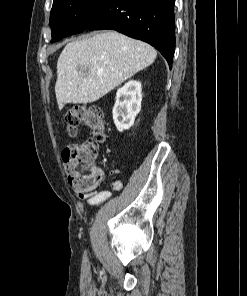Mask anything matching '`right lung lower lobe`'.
<instances>
[{
  "label": "right lung lower lobe",
  "mask_w": 247,
  "mask_h": 296,
  "mask_svg": "<svg viewBox=\"0 0 247 296\" xmlns=\"http://www.w3.org/2000/svg\"><path fill=\"white\" fill-rule=\"evenodd\" d=\"M175 0H104L86 29H113L154 46L170 68L175 50Z\"/></svg>",
  "instance_id": "1"
}]
</instances>
